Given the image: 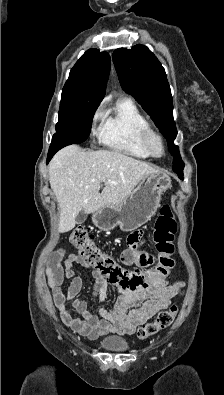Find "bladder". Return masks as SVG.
<instances>
[{"label":"bladder","instance_id":"obj_1","mask_svg":"<svg viewBox=\"0 0 224 395\" xmlns=\"http://www.w3.org/2000/svg\"><path fill=\"white\" fill-rule=\"evenodd\" d=\"M99 346L108 352L123 353L129 349V342L122 337L110 336L103 339Z\"/></svg>","mask_w":224,"mask_h":395}]
</instances>
